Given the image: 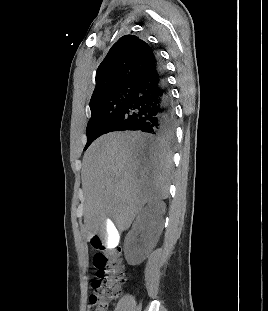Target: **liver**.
<instances>
[{
  "label": "liver",
  "mask_w": 268,
  "mask_h": 311,
  "mask_svg": "<svg viewBox=\"0 0 268 311\" xmlns=\"http://www.w3.org/2000/svg\"><path fill=\"white\" fill-rule=\"evenodd\" d=\"M171 154L138 132H112L95 140L83 156L84 234L106 235L108 219L127 230L143 206L169 194Z\"/></svg>",
  "instance_id": "1"
}]
</instances>
